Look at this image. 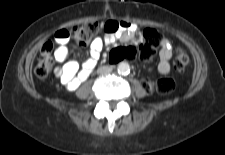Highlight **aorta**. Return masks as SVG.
Instances as JSON below:
<instances>
[{"label":"aorta","instance_id":"762f6f07","mask_svg":"<svg viewBox=\"0 0 225 155\" xmlns=\"http://www.w3.org/2000/svg\"><path fill=\"white\" fill-rule=\"evenodd\" d=\"M117 71L121 75H127L130 72V66L126 62H121L117 66Z\"/></svg>","mask_w":225,"mask_h":155}]
</instances>
